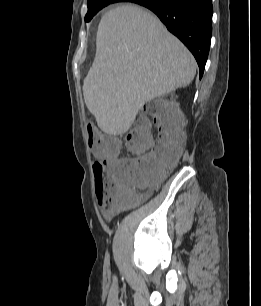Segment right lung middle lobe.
I'll use <instances>...</instances> for the list:
<instances>
[{
    "label": "right lung middle lobe",
    "instance_id": "obj_1",
    "mask_svg": "<svg viewBox=\"0 0 261 306\" xmlns=\"http://www.w3.org/2000/svg\"><path fill=\"white\" fill-rule=\"evenodd\" d=\"M118 1L109 0V1H99V0H92L87 2L88 5V12L85 16V22H89L94 15H96L102 8L105 6L116 3Z\"/></svg>",
    "mask_w": 261,
    "mask_h": 306
}]
</instances>
